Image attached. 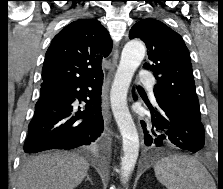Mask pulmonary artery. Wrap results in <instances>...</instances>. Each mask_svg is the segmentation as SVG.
Listing matches in <instances>:
<instances>
[{
  "mask_svg": "<svg viewBox=\"0 0 223 189\" xmlns=\"http://www.w3.org/2000/svg\"><path fill=\"white\" fill-rule=\"evenodd\" d=\"M139 77H140L141 81L147 82L150 86V89L152 90V87H153V84H154L152 74L148 71H142L140 73Z\"/></svg>",
  "mask_w": 223,
  "mask_h": 189,
  "instance_id": "obj_1",
  "label": "pulmonary artery"
}]
</instances>
